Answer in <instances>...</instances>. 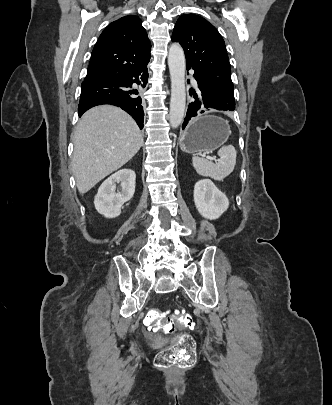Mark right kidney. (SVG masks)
<instances>
[{"mask_svg": "<svg viewBox=\"0 0 332 405\" xmlns=\"http://www.w3.org/2000/svg\"><path fill=\"white\" fill-rule=\"evenodd\" d=\"M116 183L121 191L115 192ZM136 174L130 169H123L106 179L98 189L94 199L97 212L106 218H115L121 214L122 205L131 200L135 192Z\"/></svg>", "mask_w": 332, "mask_h": 405, "instance_id": "right-kidney-1", "label": "right kidney"}]
</instances>
